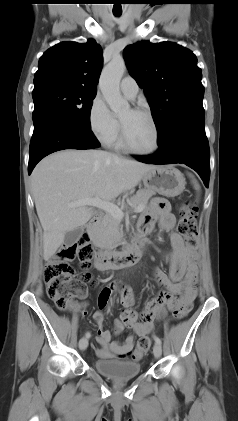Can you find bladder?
I'll list each match as a JSON object with an SVG mask.
<instances>
[{"label":"bladder","mask_w":238,"mask_h":421,"mask_svg":"<svg viewBox=\"0 0 238 421\" xmlns=\"http://www.w3.org/2000/svg\"><path fill=\"white\" fill-rule=\"evenodd\" d=\"M94 366L102 375L119 381L135 378L141 372V364L131 360L99 358L94 362Z\"/></svg>","instance_id":"obj_1"}]
</instances>
